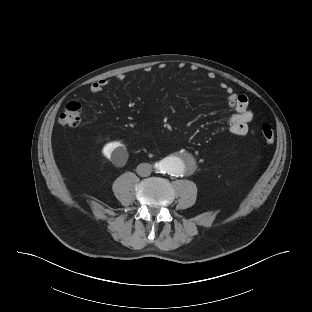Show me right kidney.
I'll return each instance as SVG.
<instances>
[{"mask_svg":"<svg viewBox=\"0 0 312 312\" xmlns=\"http://www.w3.org/2000/svg\"><path fill=\"white\" fill-rule=\"evenodd\" d=\"M102 153L106 158L114 163L118 162L121 159L127 161L128 158L126 148L119 142H110L106 144L103 147Z\"/></svg>","mask_w":312,"mask_h":312,"instance_id":"obj_1","label":"right kidney"}]
</instances>
